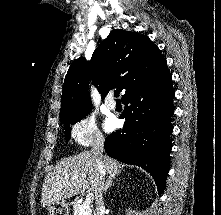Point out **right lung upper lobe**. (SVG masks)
Instances as JSON below:
<instances>
[{
  "label": "right lung upper lobe",
  "instance_id": "obj_1",
  "mask_svg": "<svg viewBox=\"0 0 221 215\" xmlns=\"http://www.w3.org/2000/svg\"><path fill=\"white\" fill-rule=\"evenodd\" d=\"M167 69L158 47L145 35L114 29L95 49L91 60L71 63L64 79L60 120L91 109L89 81L104 97L116 87L122 98Z\"/></svg>",
  "mask_w": 221,
  "mask_h": 215
}]
</instances>
